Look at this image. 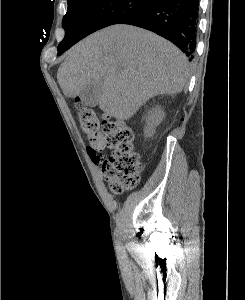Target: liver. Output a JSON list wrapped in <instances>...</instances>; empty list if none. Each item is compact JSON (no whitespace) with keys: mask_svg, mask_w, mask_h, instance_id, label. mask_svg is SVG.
Listing matches in <instances>:
<instances>
[{"mask_svg":"<svg viewBox=\"0 0 245 300\" xmlns=\"http://www.w3.org/2000/svg\"><path fill=\"white\" fill-rule=\"evenodd\" d=\"M188 77L187 58L175 45L124 24L97 31L72 47L57 72L68 98L102 80L99 108L118 120L130 119L154 96L180 93Z\"/></svg>","mask_w":245,"mask_h":300,"instance_id":"obj_1","label":"liver"}]
</instances>
